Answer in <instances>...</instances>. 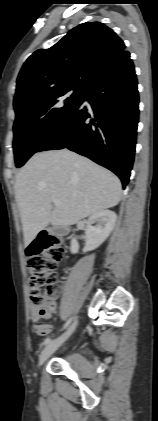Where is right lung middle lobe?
Returning <instances> with one entry per match:
<instances>
[{
	"label": "right lung middle lobe",
	"mask_w": 158,
	"mask_h": 421,
	"mask_svg": "<svg viewBox=\"0 0 158 421\" xmlns=\"http://www.w3.org/2000/svg\"><path fill=\"white\" fill-rule=\"evenodd\" d=\"M84 87H65L29 96L14 105L13 149L21 167L79 103Z\"/></svg>",
	"instance_id": "1"
}]
</instances>
